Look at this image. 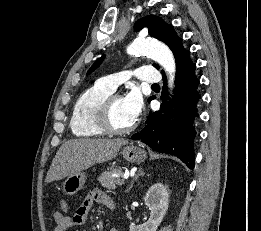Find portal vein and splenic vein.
I'll return each instance as SVG.
<instances>
[{"label": "portal vein and splenic vein", "instance_id": "portal-vein-and-splenic-vein-1", "mask_svg": "<svg viewBox=\"0 0 261 231\" xmlns=\"http://www.w3.org/2000/svg\"><path fill=\"white\" fill-rule=\"evenodd\" d=\"M124 183V181L123 180H121V182L119 183V184H123Z\"/></svg>", "mask_w": 261, "mask_h": 231}]
</instances>
